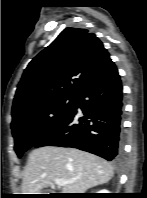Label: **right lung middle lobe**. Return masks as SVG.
Returning a JSON list of instances; mask_svg holds the SVG:
<instances>
[{
	"instance_id": "dd1d6c3e",
	"label": "right lung middle lobe",
	"mask_w": 147,
	"mask_h": 198,
	"mask_svg": "<svg viewBox=\"0 0 147 198\" xmlns=\"http://www.w3.org/2000/svg\"><path fill=\"white\" fill-rule=\"evenodd\" d=\"M73 104L74 99L55 100L14 120L11 128L18 157L48 136L70 113Z\"/></svg>"
}]
</instances>
